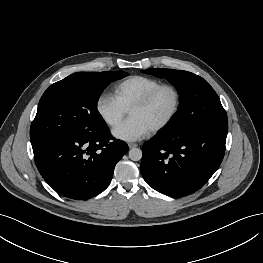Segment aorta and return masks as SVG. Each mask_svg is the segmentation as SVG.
<instances>
[{
  "label": "aorta",
  "instance_id": "obj_1",
  "mask_svg": "<svg viewBox=\"0 0 263 263\" xmlns=\"http://www.w3.org/2000/svg\"><path fill=\"white\" fill-rule=\"evenodd\" d=\"M129 158L133 161H139L142 158V151L139 148L129 150Z\"/></svg>",
  "mask_w": 263,
  "mask_h": 263
}]
</instances>
